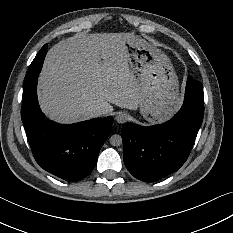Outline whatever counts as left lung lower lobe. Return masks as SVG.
Here are the masks:
<instances>
[{
    "mask_svg": "<svg viewBox=\"0 0 233 233\" xmlns=\"http://www.w3.org/2000/svg\"><path fill=\"white\" fill-rule=\"evenodd\" d=\"M204 115L203 85L188 77L182 108L164 124L122 126L123 159L129 172L144 182L176 172L187 160Z\"/></svg>",
    "mask_w": 233,
    "mask_h": 233,
    "instance_id": "1",
    "label": "left lung lower lobe"
}]
</instances>
